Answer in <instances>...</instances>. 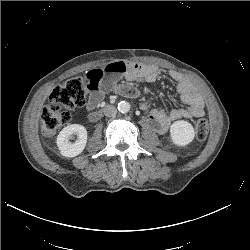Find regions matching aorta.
I'll list each match as a JSON object with an SVG mask.
<instances>
[{
	"instance_id": "1",
	"label": "aorta",
	"mask_w": 250,
	"mask_h": 250,
	"mask_svg": "<svg viewBox=\"0 0 250 250\" xmlns=\"http://www.w3.org/2000/svg\"><path fill=\"white\" fill-rule=\"evenodd\" d=\"M130 103L129 102H126V101H121L120 103H118V110L121 112V113H127L130 111Z\"/></svg>"
}]
</instances>
